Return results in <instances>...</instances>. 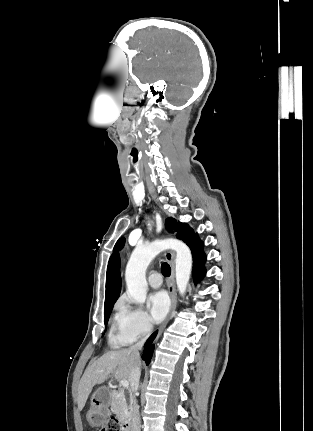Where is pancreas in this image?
I'll return each mask as SVG.
<instances>
[{
  "mask_svg": "<svg viewBox=\"0 0 313 431\" xmlns=\"http://www.w3.org/2000/svg\"><path fill=\"white\" fill-rule=\"evenodd\" d=\"M128 408L124 390L116 391L111 403L112 411L120 420H123L128 413Z\"/></svg>",
  "mask_w": 313,
  "mask_h": 431,
  "instance_id": "obj_1",
  "label": "pancreas"
}]
</instances>
